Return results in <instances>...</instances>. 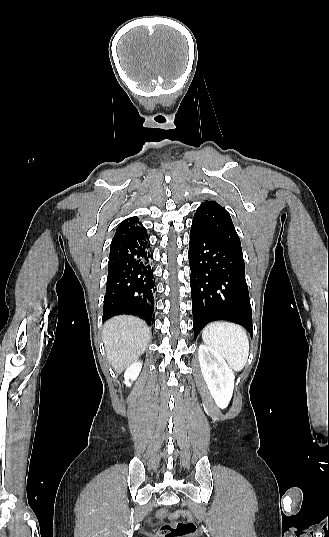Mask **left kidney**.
Segmentation results:
<instances>
[{
  "label": "left kidney",
  "mask_w": 329,
  "mask_h": 537,
  "mask_svg": "<svg viewBox=\"0 0 329 537\" xmlns=\"http://www.w3.org/2000/svg\"><path fill=\"white\" fill-rule=\"evenodd\" d=\"M199 363L204 380L217 406H228L233 390L235 375L224 358L214 349L200 345Z\"/></svg>",
  "instance_id": "left-kidney-1"
}]
</instances>
